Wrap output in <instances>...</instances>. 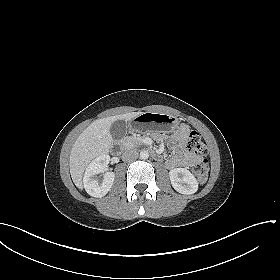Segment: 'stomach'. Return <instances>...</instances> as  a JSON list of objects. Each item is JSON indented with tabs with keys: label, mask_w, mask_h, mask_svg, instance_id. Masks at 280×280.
Instances as JSON below:
<instances>
[{
	"label": "stomach",
	"mask_w": 280,
	"mask_h": 280,
	"mask_svg": "<svg viewBox=\"0 0 280 280\" xmlns=\"http://www.w3.org/2000/svg\"><path fill=\"white\" fill-rule=\"evenodd\" d=\"M179 125V120L169 114L145 112L132 119L130 128L139 131L146 127H155L164 133L174 131Z\"/></svg>",
	"instance_id": "0dacf381"
}]
</instances>
